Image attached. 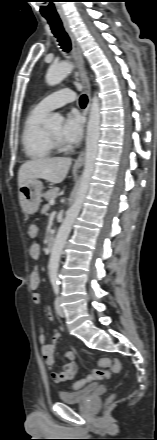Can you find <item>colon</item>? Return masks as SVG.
<instances>
[{"instance_id": "1", "label": "colon", "mask_w": 157, "mask_h": 440, "mask_svg": "<svg viewBox=\"0 0 157 440\" xmlns=\"http://www.w3.org/2000/svg\"><path fill=\"white\" fill-rule=\"evenodd\" d=\"M27 232L31 240L34 241L38 238L39 229L37 225L29 224ZM120 369H121V363L117 359L101 358L98 360L97 367L94 369V371L91 374L87 375L86 377L76 381L73 384V388L80 389L91 381L106 379L108 377L109 370H112L114 372H119ZM113 397L114 395H111L110 399H112Z\"/></svg>"}]
</instances>
